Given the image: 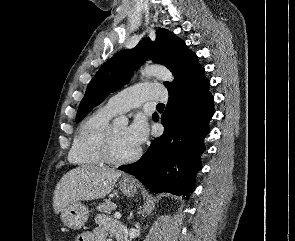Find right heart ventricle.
Here are the masks:
<instances>
[{"label": "right heart ventricle", "mask_w": 295, "mask_h": 241, "mask_svg": "<svg viewBox=\"0 0 295 241\" xmlns=\"http://www.w3.org/2000/svg\"><path fill=\"white\" fill-rule=\"evenodd\" d=\"M116 112L103 106L89 115L79 126L70 149V163L80 167L101 165L100 145L111 118Z\"/></svg>", "instance_id": "1"}]
</instances>
